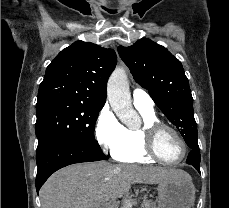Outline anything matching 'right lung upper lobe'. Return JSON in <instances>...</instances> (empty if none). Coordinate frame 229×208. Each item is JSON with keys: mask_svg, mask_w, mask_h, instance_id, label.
Returning a JSON list of instances; mask_svg holds the SVG:
<instances>
[{"mask_svg": "<svg viewBox=\"0 0 229 208\" xmlns=\"http://www.w3.org/2000/svg\"><path fill=\"white\" fill-rule=\"evenodd\" d=\"M116 62L114 50L76 41L47 67L37 102L63 98L101 110L106 102L107 81Z\"/></svg>", "mask_w": 229, "mask_h": 208, "instance_id": "1", "label": "right lung upper lobe"}]
</instances>
